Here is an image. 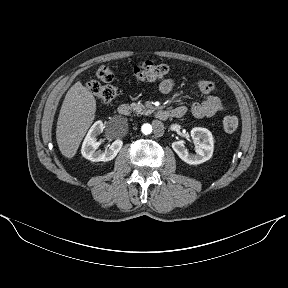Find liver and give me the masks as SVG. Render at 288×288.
<instances>
[{"label":"liver","mask_w":288,"mask_h":288,"mask_svg":"<svg viewBox=\"0 0 288 288\" xmlns=\"http://www.w3.org/2000/svg\"><path fill=\"white\" fill-rule=\"evenodd\" d=\"M96 100L91 91L76 82L68 90L60 109L56 140L60 152L73 158L89 127L95 119Z\"/></svg>","instance_id":"1"}]
</instances>
